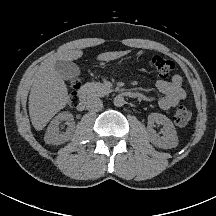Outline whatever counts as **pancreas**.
<instances>
[{"label": "pancreas", "mask_w": 216, "mask_h": 216, "mask_svg": "<svg viewBox=\"0 0 216 216\" xmlns=\"http://www.w3.org/2000/svg\"><path fill=\"white\" fill-rule=\"evenodd\" d=\"M85 87L88 89V93L91 96H104L112 92L111 89L107 88L104 84L100 82L86 83Z\"/></svg>", "instance_id": "1"}]
</instances>
